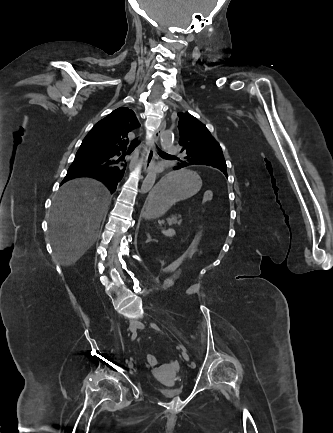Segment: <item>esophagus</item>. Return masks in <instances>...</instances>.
<instances>
[{
	"instance_id": "1",
	"label": "esophagus",
	"mask_w": 333,
	"mask_h": 433,
	"mask_svg": "<svg viewBox=\"0 0 333 433\" xmlns=\"http://www.w3.org/2000/svg\"><path fill=\"white\" fill-rule=\"evenodd\" d=\"M163 128H164L163 125L160 128H158L154 133L153 139H151L149 142V149L143 163V170L145 173L149 172L152 169L155 159L157 158L156 144L160 139L161 131L163 130Z\"/></svg>"
}]
</instances>
